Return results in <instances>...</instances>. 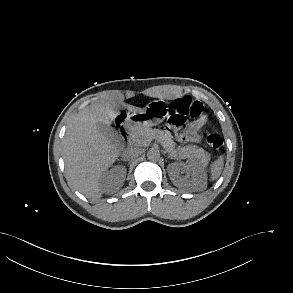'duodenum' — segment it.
<instances>
[{"label":"duodenum","mask_w":293,"mask_h":293,"mask_svg":"<svg viewBox=\"0 0 293 293\" xmlns=\"http://www.w3.org/2000/svg\"><path fill=\"white\" fill-rule=\"evenodd\" d=\"M133 127L132 125H125L120 129V136L125 143V145H129L130 135L132 133Z\"/></svg>","instance_id":"410a0bca"}]
</instances>
